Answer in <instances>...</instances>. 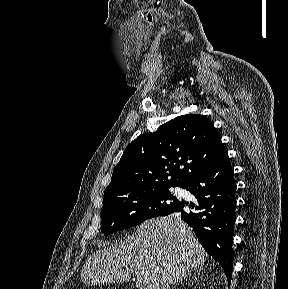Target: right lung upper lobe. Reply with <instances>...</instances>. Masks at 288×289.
Here are the masks:
<instances>
[{
	"label": "right lung upper lobe",
	"instance_id": "1",
	"mask_svg": "<svg viewBox=\"0 0 288 289\" xmlns=\"http://www.w3.org/2000/svg\"><path fill=\"white\" fill-rule=\"evenodd\" d=\"M225 152L217 130L198 114L176 117L137 137L113 170L104 198L157 187H181Z\"/></svg>",
	"mask_w": 288,
	"mask_h": 289
}]
</instances>
